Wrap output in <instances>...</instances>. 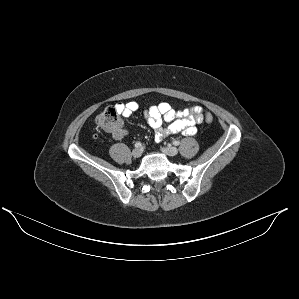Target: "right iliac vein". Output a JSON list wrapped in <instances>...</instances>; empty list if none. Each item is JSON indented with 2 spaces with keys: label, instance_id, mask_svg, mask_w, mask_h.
<instances>
[{
  "label": "right iliac vein",
  "instance_id": "1",
  "mask_svg": "<svg viewBox=\"0 0 299 299\" xmlns=\"http://www.w3.org/2000/svg\"><path fill=\"white\" fill-rule=\"evenodd\" d=\"M142 152L140 149L136 148L132 151V156L135 158H139L141 156Z\"/></svg>",
  "mask_w": 299,
  "mask_h": 299
}]
</instances>
